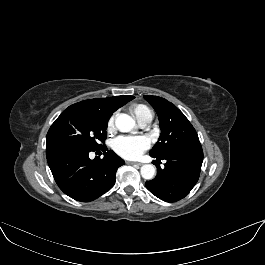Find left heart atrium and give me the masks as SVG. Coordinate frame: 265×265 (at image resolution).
Here are the masks:
<instances>
[{"label":"left heart atrium","instance_id":"1","mask_svg":"<svg viewBox=\"0 0 265 265\" xmlns=\"http://www.w3.org/2000/svg\"><path fill=\"white\" fill-rule=\"evenodd\" d=\"M113 148L120 156L135 159L148 148V142L141 136H120L114 140Z\"/></svg>","mask_w":265,"mask_h":265}]
</instances>
